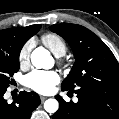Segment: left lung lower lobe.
<instances>
[{
    "mask_svg": "<svg viewBox=\"0 0 119 119\" xmlns=\"http://www.w3.org/2000/svg\"><path fill=\"white\" fill-rule=\"evenodd\" d=\"M75 92L77 103L65 102L59 95L55 97L60 107L53 119H119L118 85L86 86Z\"/></svg>",
    "mask_w": 119,
    "mask_h": 119,
    "instance_id": "obj_1",
    "label": "left lung lower lobe"
}]
</instances>
